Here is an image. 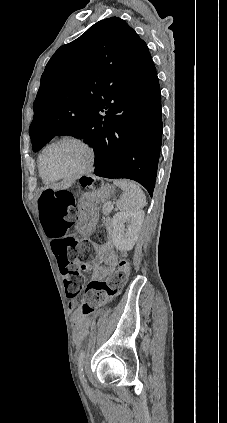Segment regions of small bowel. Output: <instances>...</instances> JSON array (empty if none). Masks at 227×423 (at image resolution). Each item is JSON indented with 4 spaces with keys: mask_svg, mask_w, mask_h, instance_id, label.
I'll list each match as a JSON object with an SVG mask.
<instances>
[{
    "mask_svg": "<svg viewBox=\"0 0 227 423\" xmlns=\"http://www.w3.org/2000/svg\"><path fill=\"white\" fill-rule=\"evenodd\" d=\"M57 239L51 238V246L54 252V245ZM101 259L104 261L105 266L94 265L92 267V281H101L106 276L112 274L117 266V258L112 250L110 243L103 244L99 247ZM77 305L76 300H71L68 304L70 309H75ZM96 318V315L90 317L89 315L82 314L81 312H75L72 315L71 321L74 327V337L78 345H80L85 337L87 336L92 321Z\"/></svg>",
    "mask_w": 227,
    "mask_h": 423,
    "instance_id": "obj_1",
    "label": "small bowel"
}]
</instances>
